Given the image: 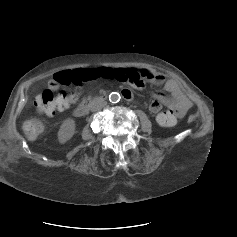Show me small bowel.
Listing matches in <instances>:
<instances>
[{
    "instance_id": "c3829d8e",
    "label": "small bowel",
    "mask_w": 237,
    "mask_h": 237,
    "mask_svg": "<svg viewBox=\"0 0 237 237\" xmlns=\"http://www.w3.org/2000/svg\"><path fill=\"white\" fill-rule=\"evenodd\" d=\"M146 75L145 80L156 85H163L164 91L170 93V97L163 94H155L149 106L153 114L160 113L163 106L167 107V112L171 113L175 119L182 118L191 106L190 100L181 92L177 83L173 80H165V76L159 72L143 69ZM82 95V90L66 95V108L75 104Z\"/></svg>"
}]
</instances>
